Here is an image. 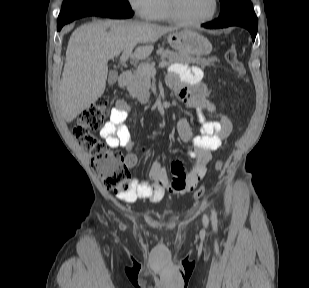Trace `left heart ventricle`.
I'll return each mask as SVG.
<instances>
[{"mask_svg": "<svg viewBox=\"0 0 309 288\" xmlns=\"http://www.w3.org/2000/svg\"><path fill=\"white\" fill-rule=\"evenodd\" d=\"M177 9L188 20H200L207 17L213 8V0H176Z\"/></svg>", "mask_w": 309, "mask_h": 288, "instance_id": "1", "label": "left heart ventricle"}]
</instances>
